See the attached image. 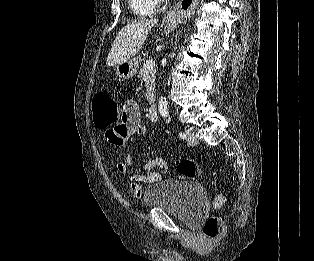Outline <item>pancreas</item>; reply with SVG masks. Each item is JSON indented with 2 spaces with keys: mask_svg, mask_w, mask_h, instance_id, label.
Here are the masks:
<instances>
[{
  "mask_svg": "<svg viewBox=\"0 0 314 261\" xmlns=\"http://www.w3.org/2000/svg\"><path fill=\"white\" fill-rule=\"evenodd\" d=\"M141 80L145 82L146 92L145 96L149 103L154 102V88H155V79H156V70H148L143 66L140 69L139 76Z\"/></svg>",
  "mask_w": 314,
  "mask_h": 261,
  "instance_id": "pancreas-1",
  "label": "pancreas"
}]
</instances>
